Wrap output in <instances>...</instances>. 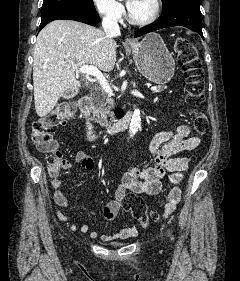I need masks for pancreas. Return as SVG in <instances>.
<instances>
[{"label": "pancreas", "instance_id": "pancreas-1", "mask_svg": "<svg viewBox=\"0 0 240 281\" xmlns=\"http://www.w3.org/2000/svg\"><path fill=\"white\" fill-rule=\"evenodd\" d=\"M166 86H158V90L154 92H162ZM93 97V120L101 126H109L111 123L108 117L112 116V109L114 108V100L103 91V89L96 88L92 93Z\"/></svg>", "mask_w": 240, "mask_h": 281}]
</instances>
